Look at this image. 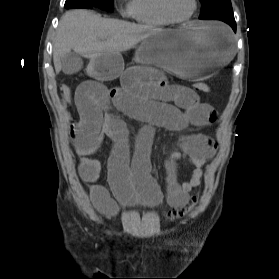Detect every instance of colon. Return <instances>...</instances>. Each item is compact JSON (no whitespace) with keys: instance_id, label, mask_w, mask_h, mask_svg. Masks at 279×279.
Instances as JSON below:
<instances>
[{"instance_id":"colon-1","label":"colon","mask_w":279,"mask_h":279,"mask_svg":"<svg viewBox=\"0 0 279 279\" xmlns=\"http://www.w3.org/2000/svg\"><path fill=\"white\" fill-rule=\"evenodd\" d=\"M194 91L198 92V93H207L210 91V87L208 84L203 83V82H199V83H195L193 85ZM60 92H61V98L63 102H71L74 98L72 89L70 87V85L66 84V83H62L60 85ZM197 196H193L192 197V205L188 208H180V209H172L169 210L167 212V216L171 219V220H176L179 218H182L184 215H186L191 208L193 207V205L196 203L197 201Z\"/></svg>"}]
</instances>
